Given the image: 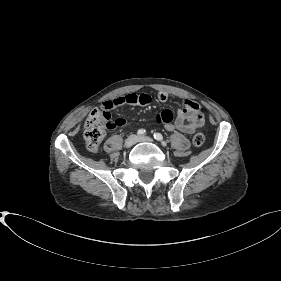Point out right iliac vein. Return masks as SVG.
Returning a JSON list of instances; mask_svg holds the SVG:
<instances>
[{"instance_id": "right-iliac-vein-1", "label": "right iliac vein", "mask_w": 281, "mask_h": 281, "mask_svg": "<svg viewBox=\"0 0 281 281\" xmlns=\"http://www.w3.org/2000/svg\"><path fill=\"white\" fill-rule=\"evenodd\" d=\"M137 142V137L135 135H130L126 140H125V147L130 148L132 147L135 143Z\"/></svg>"}]
</instances>
